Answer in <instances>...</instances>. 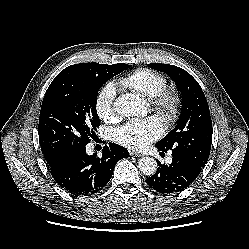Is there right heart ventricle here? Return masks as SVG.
<instances>
[{
    "instance_id": "e07e8e85",
    "label": "right heart ventricle",
    "mask_w": 249,
    "mask_h": 249,
    "mask_svg": "<svg viewBox=\"0 0 249 249\" xmlns=\"http://www.w3.org/2000/svg\"><path fill=\"white\" fill-rule=\"evenodd\" d=\"M119 85L135 91L145 98H150L166 87L167 80L163 74L157 71L140 68L122 77Z\"/></svg>"
}]
</instances>
